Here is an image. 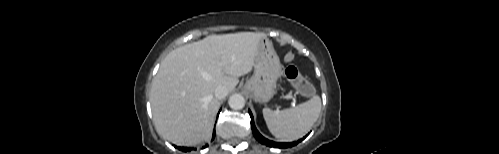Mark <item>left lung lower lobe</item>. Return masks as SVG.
<instances>
[{
	"label": "left lung lower lobe",
	"mask_w": 499,
	"mask_h": 154,
	"mask_svg": "<svg viewBox=\"0 0 499 154\" xmlns=\"http://www.w3.org/2000/svg\"><path fill=\"white\" fill-rule=\"evenodd\" d=\"M249 114H250V117H251V128H252V131H253V134L255 136V138L262 144L264 145H267L269 147H278V148H287V147H292L296 144H298L299 142H301L304 138L296 141V142H292V143H278V142H273V141H270L266 138H264L259 132L258 130L256 129L255 127V124H254V120H253V116H252V113L249 111Z\"/></svg>",
	"instance_id": "1"
}]
</instances>
